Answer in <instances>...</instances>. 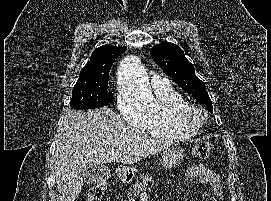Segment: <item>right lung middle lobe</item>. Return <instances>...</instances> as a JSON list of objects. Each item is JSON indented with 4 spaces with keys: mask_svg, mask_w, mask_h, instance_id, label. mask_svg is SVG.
<instances>
[{
    "mask_svg": "<svg viewBox=\"0 0 271 201\" xmlns=\"http://www.w3.org/2000/svg\"><path fill=\"white\" fill-rule=\"evenodd\" d=\"M109 75L79 77L73 87L70 106L74 109H94L107 105L113 95L107 90Z\"/></svg>",
    "mask_w": 271,
    "mask_h": 201,
    "instance_id": "right-lung-middle-lobe-1",
    "label": "right lung middle lobe"
}]
</instances>
